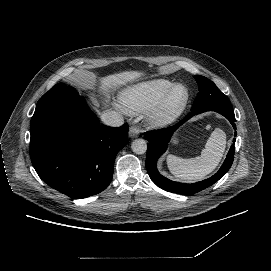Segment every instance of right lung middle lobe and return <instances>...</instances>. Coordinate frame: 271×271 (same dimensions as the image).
I'll use <instances>...</instances> for the list:
<instances>
[{
    "instance_id": "dd1d6c3e",
    "label": "right lung middle lobe",
    "mask_w": 271,
    "mask_h": 271,
    "mask_svg": "<svg viewBox=\"0 0 271 271\" xmlns=\"http://www.w3.org/2000/svg\"><path fill=\"white\" fill-rule=\"evenodd\" d=\"M78 95L72 87L65 84L54 85L46 94H44L38 101L37 105L52 101L59 97Z\"/></svg>"
}]
</instances>
